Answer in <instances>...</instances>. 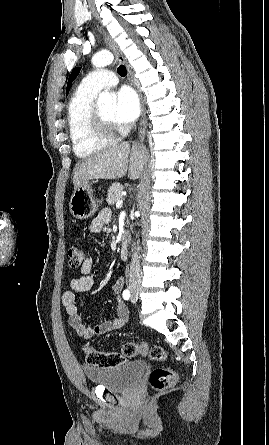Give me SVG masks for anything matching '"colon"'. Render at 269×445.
Wrapping results in <instances>:
<instances>
[{"mask_svg": "<svg viewBox=\"0 0 269 445\" xmlns=\"http://www.w3.org/2000/svg\"><path fill=\"white\" fill-rule=\"evenodd\" d=\"M69 266L71 269L81 268L84 262V253L79 247H71L68 251ZM154 361H164L167 357L166 351L161 346L148 348L147 344H136L133 342L125 343L122 351L103 352L90 348L85 349V359L89 365L98 368H113L124 364L129 358L135 356H146ZM177 381V375L174 371L158 367L149 375V385L155 391H163L173 386Z\"/></svg>", "mask_w": 269, "mask_h": 445, "instance_id": "obj_1", "label": "colon"}]
</instances>
